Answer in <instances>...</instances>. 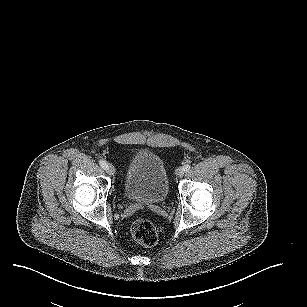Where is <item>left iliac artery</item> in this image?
Returning a JSON list of instances; mask_svg holds the SVG:
<instances>
[{
    "mask_svg": "<svg viewBox=\"0 0 307 307\" xmlns=\"http://www.w3.org/2000/svg\"><path fill=\"white\" fill-rule=\"evenodd\" d=\"M183 168H184V171L187 172L188 170H190L191 165L187 164V165H185Z\"/></svg>",
    "mask_w": 307,
    "mask_h": 307,
    "instance_id": "1",
    "label": "left iliac artery"
}]
</instances>
